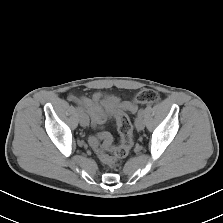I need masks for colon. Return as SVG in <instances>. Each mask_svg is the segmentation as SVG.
Returning a JSON list of instances; mask_svg holds the SVG:
<instances>
[{
  "label": "colon",
  "mask_w": 223,
  "mask_h": 223,
  "mask_svg": "<svg viewBox=\"0 0 223 223\" xmlns=\"http://www.w3.org/2000/svg\"><path fill=\"white\" fill-rule=\"evenodd\" d=\"M158 101L159 95L156 91L143 89L134 95L132 101L124 102L120 105L115 115L120 145L114 147L112 145V137L107 132L99 133L90 139L92 148L102 162L111 168H116L132 148L133 128L126 112H135L141 104H155Z\"/></svg>",
  "instance_id": "1"
}]
</instances>
